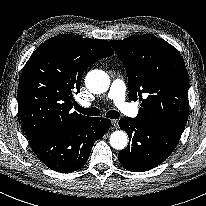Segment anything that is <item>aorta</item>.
Masks as SVG:
<instances>
[{"label": "aorta", "instance_id": "obj_1", "mask_svg": "<svg viewBox=\"0 0 206 206\" xmlns=\"http://www.w3.org/2000/svg\"><path fill=\"white\" fill-rule=\"evenodd\" d=\"M85 84L90 92L100 94L107 91L110 79L104 71L92 70L87 74ZM109 141L114 149L122 150L128 144V136L124 131H115L111 134Z\"/></svg>", "mask_w": 206, "mask_h": 206}]
</instances>
